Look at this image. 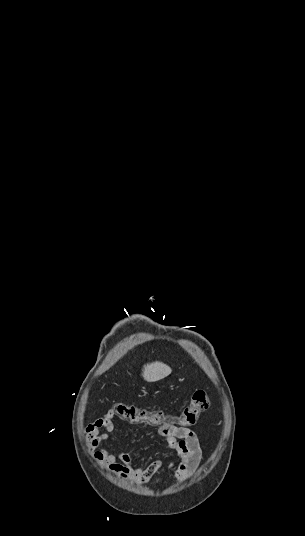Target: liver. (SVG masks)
Returning a JSON list of instances; mask_svg holds the SVG:
<instances>
[{
  "label": "liver",
  "mask_w": 305,
  "mask_h": 536,
  "mask_svg": "<svg viewBox=\"0 0 305 536\" xmlns=\"http://www.w3.org/2000/svg\"><path fill=\"white\" fill-rule=\"evenodd\" d=\"M172 370L166 364L162 362H152V364H146L144 370H142V376L145 382H158L163 380L166 376L171 374Z\"/></svg>",
  "instance_id": "6515ba94"
}]
</instances>
